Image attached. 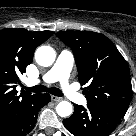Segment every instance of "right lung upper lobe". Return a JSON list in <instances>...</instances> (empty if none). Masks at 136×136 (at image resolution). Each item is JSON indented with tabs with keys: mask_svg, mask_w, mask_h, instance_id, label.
<instances>
[{
	"mask_svg": "<svg viewBox=\"0 0 136 136\" xmlns=\"http://www.w3.org/2000/svg\"><path fill=\"white\" fill-rule=\"evenodd\" d=\"M52 34V31L0 30V121L17 114L33 96L28 92L18 94V75L26 72L36 47Z\"/></svg>",
	"mask_w": 136,
	"mask_h": 136,
	"instance_id": "right-lung-upper-lobe-1",
	"label": "right lung upper lobe"
}]
</instances>
